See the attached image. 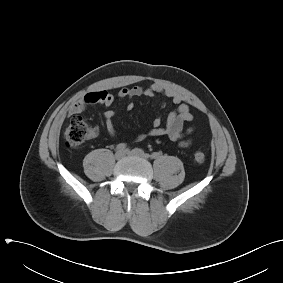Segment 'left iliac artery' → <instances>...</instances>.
Segmentation results:
<instances>
[{"label": "left iliac artery", "instance_id": "left-iliac-artery-1", "mask_svg": "<svg viewBox=\"0 0 283 283\" xmlns=\"http://www.w3.org/2000/svg\"><path fill=\"white\" fill-rule=\"evenodd\" d=\"M149 157L152 158V159H156V158L160 157V153L153 152L151 155H149Z\"/></svg>", "mask_w": 283, "mask_h": 283}]
</instances>
